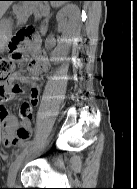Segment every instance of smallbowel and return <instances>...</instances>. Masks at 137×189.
Masks as SVG:
<instances>
[{"instance_id": "1", "label": "small bowel", "mask_w": 137, "mask_h": 189, "mask_svg": "<svg viewBox=\"0 0 137 189\" xmlns=\"http://www.w3.org/2000/svg\"><path fill=\"white\" fill-rule=\"evenodd\" d=\"M48 68L45 59L32 62L29 78L21 72H14L7 83L0 85V137L6 147H19L29 138L32 131L33 113L28 114L26 108L20 107V121L11 115L7 109V104L23 91L22 85L29 86V99L27 103L32 108L37 105L40 97V86L36 82L40 75Z\"/></svg>"}]
</instances>
